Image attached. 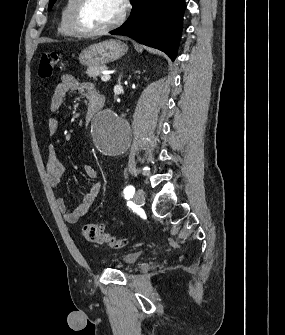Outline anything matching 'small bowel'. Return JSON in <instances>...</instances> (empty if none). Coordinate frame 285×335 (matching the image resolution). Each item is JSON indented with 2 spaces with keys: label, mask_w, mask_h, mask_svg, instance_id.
<instances>
[{
  "label": "small bowel",
  "mask_w": 285,
  "mask_h": 335,
  "mask_svg": "<svg viewBox=\"0 0 285 335\" xmlns=\"http://www.w3.org/2000/svg\"><path fill=\"white\" fill-rule=\"evenodd\" d=\"M71 92L79 93L88 99L89 102L102 99L101 95L92 84L79 82L74 76L69 74L63 75L61 81L55 86L50 100L49 109L54 115L47 123V130L50 136H53L58 132L59 121L55 115L58 114L67 96ZM45 165L49 182L54 188H56L59 185L65 170L57 157L53 144H49L46 148ZM84 170L85 174L89 178H95L97 176V171L93 166L87 165ZM101 189V182L94 183L89 192L82 198L79 205L73 211L67 210L66 203L63 198H58L57 206L60 213L63 215L64 220L68 223H76L79 219H81L87 213L93 202L97 199Z\"/></svg>",
  "instance_id": "small-bowel-1"
}]
</instances>
